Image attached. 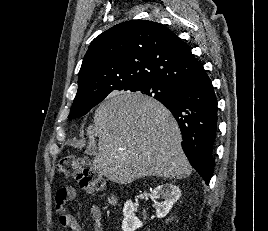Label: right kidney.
<instances>
[{
  "label": "right kidney",
  "instance_id": "obj_1",
  "mask_svg": "<svg viewBox=\"0 0 268 231\" xmlns=\"http://www.w3.org/2000/svg\"><path fill=\"white\" fill-rule=\"evenodd\" d=\"M180 196V189L173 184L166 183L157 186L151 194V198L154 200L157 218H164ZM160 197L163 199V201L156 202L155 199ZM134 211L135 207L133 202L131 200L126 201L123 208V231H135L142 226V222L134 215Z\"/></svg>",
  "mask_w": 268,
  "mask_h": 231
}]
</instances>
